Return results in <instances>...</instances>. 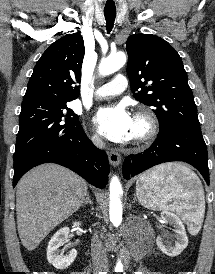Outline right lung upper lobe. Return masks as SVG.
Instances as JSON below:
<instances>
[{
    "label": "right lung upper lobe",
    "mask_w": 215,
    "mask_h": 274,
    "mask_svg": "<svg viewBox=\"0 0 215 274\" xmlns=\"http://www.w3.org/2000/svg\"><path fill=\"white\" fill-rule=\"evenodd\" d=\"M85 48L79 33L55 41L35 65L22 104L39 100L71 101L78 97Z\"/></svg>",
    "instance_id": "obj_1"
}]
</instances>
